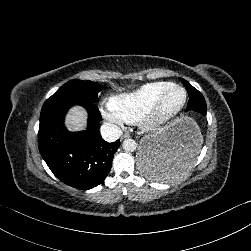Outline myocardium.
<instances>
[{"mask_svg": "<svg viewBox=\"0 0 251 251\" xmlns=\"http://www.w3.org/2000/svg\"><path fill=\"white\" fill-rule=\"evenodd\" d=\"M170 88H175L181 90L184 93V102L179 109V111L169 117V118H162L159 116V111L168 96V92ZM189 102V94L187 90L176 83H169V85L159 94L158 98L152 104L145 115L146 126L149 130L156 131V130H165L177 123L181 117L184 115Z\"/></svg>", "mask_w": 251, "mask_h": 251, "instance_id": "obj_1", "label": "myocardium"}]
</instances>
